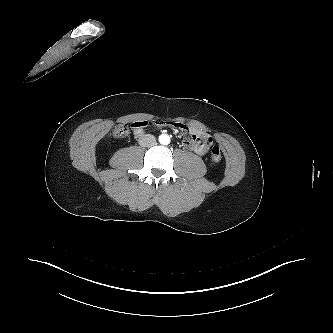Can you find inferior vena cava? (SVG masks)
<instances>
[{
    "label": "inferior vena cava",
    "instance_id": "602c4592",
    "mask_svg": "<svg viewBox=\"0 0 333 333\" xmlns=\"http://www.w3.org/2000/svg\"><path fill=\"white\" fill-rule=\"evenodd\" d=\"M156 139L151 134H145L144 136L140 137L139 145L142 147H150L155 145Z\"/></svg>",
    "mask_w": 333,
    "mask_h": 333
}]
</instances>
